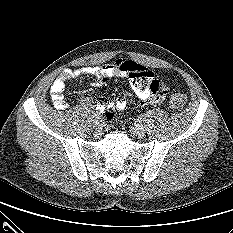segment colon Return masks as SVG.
Listing matches in <instances>:
<instances>
[{
    "label": "colon",
    "instance_id": "1",
    "mask_svg": "<svg viewBox=\"0 0 233 233\" xmlns=\"http://www.w3.org/2000/svg\"><path fill=\"white\" fill-rule=\"evenodd\" d=\"M130 75L131 78L135 80H143V81L150 79L152 76L150 70L140 66L133 67ZM185 103H186V96L184 95V93L181 90L174 88L171 91L170 100H169V105L171 109L175 111H179L184 107ZM106 116L108 118H112L113 111L108 110L106 112Z\"/></svg>",
    "mask_w": 233,
    "mask_h": 233
}]
</instances>
